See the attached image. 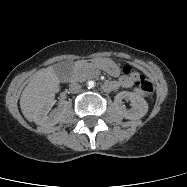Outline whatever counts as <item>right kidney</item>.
Returning a JSON list of instances; mask_svg holds the SVG:
<instances>
[{
	"label": "right kidney",
	"instance_id": "right-kidney-1",
	"mask_svg": "<svg viewBox=\"0 0 187 187\" xmlns=\"http://www.w3.org/2000/svg\"><path fill=\"white\" fill-rule=\"evenodd\" d=\"M53 104L54 98L51 97L47 101L45 108L40 112L38 118L36 119V124L48 128L56 125L59 122L62 114L64 113V107L61 106L58 109L50 112V114H48L49 109Z\"/></svg>",
	"mask_w": 187,
	"mask_h": 187
}]
</instances>
